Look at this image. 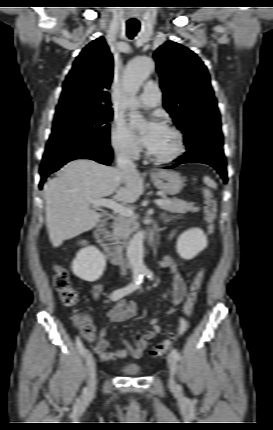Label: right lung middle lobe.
I'll return each instance as SVG.
<instances>
[{
	"label": "right lung middle lobe",
	"instance_id": "dd1d6c3e",
	"mask_svg": "<svg viewBox=\"0 0 273 430\" xmlns=\"http://www.w3.org/2000/svg\"><path fill=\"white\" fill-rule=\"evenodd\" d=\"M113 111L73 105L56 109L43 161L82 149H110Z\"/></svg>",
	"mask_w": 273,
	"mask_h": 430
}]
</instances>
